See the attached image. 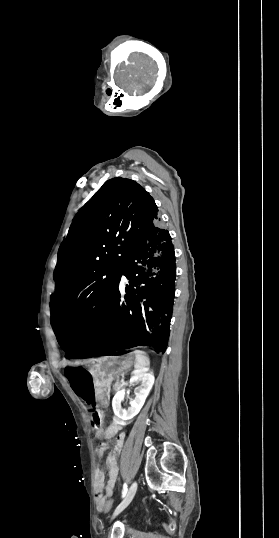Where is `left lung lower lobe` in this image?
<instances>
[{
    "mask_svg": "<svg viewBox=\"0 0 279 538\" xmlns=\"http://www.w3.org/2000/svg\"><path fill=\"white\" fill-rule=\"evenodd\" d=\"M122 274L129 279L125 301L119 283L97 326L88 335H57L66 358L107 355L115 350L151 346L165 352L175 296V254L171 237L151 225L127 257Z\"/></svg>",
    "mask_w": 279,
    "mask_h": 538,
    "instance_id": "left-lung-lower-lobe-1",
    "label": "left lung lower lobe"
}]
</instances>
